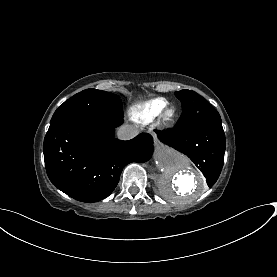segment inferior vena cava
I'll return each instance as SVG.
<instances>
[{"label": "inferior vena cava", "mask_w": 277, "mask_h": 277, "mask_svg": "<svg viewBox=\"0 0 277 277\" xmlns=\"http://www.w3.org/2000/svg\"><path fill=\"white\" fill-rule=\"evenodd\" d=\"M138 133L139 131L135 126L128 125L121 126L117 131L118 138L121 140L133 139L138 135Z\"/></svg>", "instance_id": "1"}]
</instances>
